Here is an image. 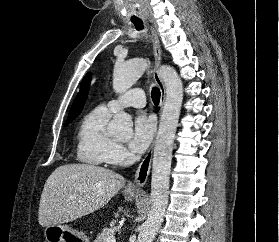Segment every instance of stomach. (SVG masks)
I'll use <instances>...</instances> for the list:
<instances>
[{"instance_id":"1","label":"stomach","mask_w":279,"mask_h":242,"mask_svg":"<svg viewBox=\"0 0 279 242\" xmlns=\"http://www.w3.org/2000/svg\"><path fill=\"white\" fill-rule=\"evenodd\" d=\"M138 196L136 193H125L129 201ZM45 242H87L86 236L68 225L53 224L44 229Z\"/></svg>"}]
</instances>
